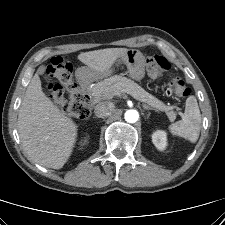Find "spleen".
Masks as SVG:
<instances>
[{"instance_id":"spleen-1","label":"spleen","mask_w":225,"mask_h":225,"mask_svg":"<svg viewBox=\"0 0 225 225\" xmlns=\"http://www.w3.org/2000/svg\"><path fill=\"white\" fill-rule=\"evenodd\" d=\"M170 133L174 136L185 138L195 143L201 129V113L194 96H189L186 100L184 117L168 127Z\"/></svg>"}]
</instances>
